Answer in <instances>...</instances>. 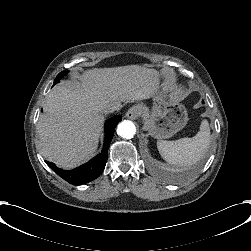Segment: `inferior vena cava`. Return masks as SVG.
Listing matches in <instances>:
<instances>
[{
  "mask_svg": "<svg viewBox=\"0 0 251 251\" xmlns=\"http://www.w3.org/2000/svg\"><path fill=\"white\" fill-rule=\"evenodd\" d=\"M120 109V105L119 104H115V105H111L108 107L107 111L109 113H112L114 111H118Z\"/></svg>",
  "mask_w": 251,
  "mask_h": 251,
  "instance_id": "obj_1",
  "label": "inferior vena cava"
}]
</instances>
